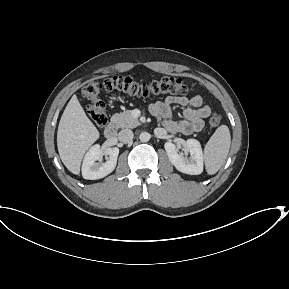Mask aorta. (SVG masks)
Listing matches in <instances>:
<instances>
[{
	"label": "aorta",
	"mask_w": 289,
	"mask_h": 289,
	"mask_svg": "<svg viewBox=\"0 0 289 289\" xmlns=\"http://www.w3.org/2000/svg\"><path fill=\"white\" fill-rule=\"evenodd\" d=\"M150 134L148 133V132H142L141 134H140V136H139V138H140V140L142 141V142H147V141H149L150 140Z\"/></svg>",
	"instance_id": "obj_1"
}]
</instances>
